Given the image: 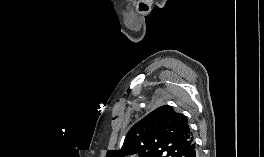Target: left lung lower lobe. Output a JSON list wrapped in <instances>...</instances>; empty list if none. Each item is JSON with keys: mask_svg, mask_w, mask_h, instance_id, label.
Masks as SVG:
<instances>
[{"mask_svg": "<svg viewBox=\"0 0 264 157\" xmlns=\"http://www.w3.org/2000/svg\"><path fill=\"white\" fill-rule=\"evenodd\" d=\"M186 157H198L196 146L194 143H192L191 146L189 147Z\"/></svg>", "mask_w": 264, "mask_h": 157, "instance_id": "obj_1", "label": "left lung lower lobe"}]
</instances>
